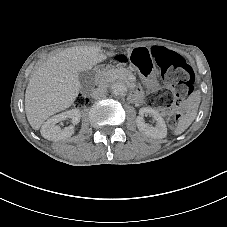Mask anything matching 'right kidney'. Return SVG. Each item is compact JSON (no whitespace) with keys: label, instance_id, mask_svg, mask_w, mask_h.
Segmentation results:
<instances>
[{"label":"right kidney","instance_id":"obj_1","mask_svg":"<svg viewBox=\"0 0 227 227\" xmlns=\"http://www.w3.org/2000/svg\"><path fill=\"white\" fill-rule=\"evenodd\" d=\"M80 118L81 112L77 108L54 115L42 125L40 133L43 138L50 141H58L71 137L75 131L74 125H77L80 122ZM66 119H71L73 125L65 127L64 129H61L60 126L56 125Z\"/></svg>","mask_w":227,"mask_h":227}]
</instances>
